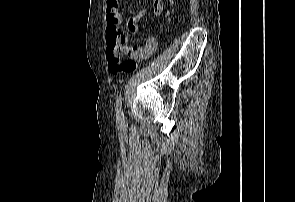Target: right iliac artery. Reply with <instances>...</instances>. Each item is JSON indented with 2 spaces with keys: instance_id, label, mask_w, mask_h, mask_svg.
Returning <instances> with one entry per match:
<instances>
[{
  "instance_id": "82829eb1",
  "label": "right iliac artery",
  "mask_w": 295,
  "mask_h": 202,
  "mask_svg": "<svg viewBox=\"0 0 295 202\" xmlns=\"http://www.w3.org/2000/svg\"><path fill=\"white\" fill-rule=\"evenodd\" d=\"M116 115L118 118H121L123 116L122 113V96L120 95L116 102Z\"/></svg>"
}]
</instances>
